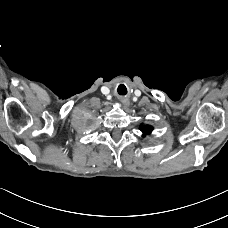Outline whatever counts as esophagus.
<instances>
[{
	"instance_id": "obj_1",
	"label": "esophagus",
	"mask_w": 228,
	"mask_h": 228,
	"mask_svg": "<svg viewBox=\"0 0 228 228\" xmlns=\"http://www.w3.org/2000/svg\"><path fill=\"white\" fill-rule=\"evenodd\" d=\"M126 106H129V101H123Z\"/></svg>"
}]
</instances>
